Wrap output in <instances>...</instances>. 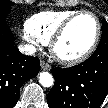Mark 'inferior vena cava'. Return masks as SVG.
<instances>
[{
	"mask_svg": "<svg viewBox=\"0 0 108 108\" xmlns=\"http://www.w3.org/2000/svg\"><path fill=\"white\" fill-rule=\"evenodd\" d=\"M18 48L24 55H33L36 52V48L30 44L20 45Z\"/></svg>",
	"mask_w": 108,
	"mask_h": 108,
	"instance_id": "obj_1",
	"label": "inferior vena cava"
}]
</instances>
